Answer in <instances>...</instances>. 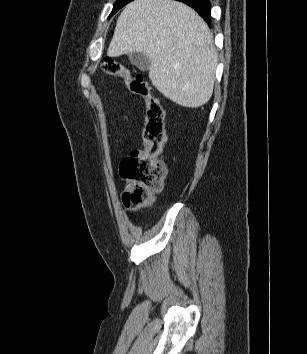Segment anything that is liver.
<instances>
[{"label":"liver","mask_w":307,"mask_h":354,"mask_svg":"<svg viewBox=\"0 0 307 354\" xmlns=\"http://www.w3.org/2000/svg\"><path fill=\"white\" fill-rule=\"evenodd\" d=\"M143 52L149 78L176 104L197 108L213 93L218 64L213 36L189 6L174 0H134L118 17L110 57Z\"/></svg>","instance_id":"1"}]
</instances>
